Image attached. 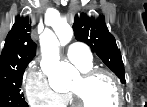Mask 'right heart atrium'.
<instances>
[{
  "instance_id": "right-heart-atrium-1",
  "label": "right heart atrium",
  "mask_w": 147,
  "mask_h": 107,
  "mask_svg": "<svg viewBox=\"0 0 147 107\" xmlns=\"http://www.w3.org/2000/svg\"><path fill=\"white\" fill-rule=\"evenodd\" d=\"M23 87L28 103L35 107H59L68 97L51 88L46 75L37 65H31L26 71Z\"/></svg>"
}]
</instances>
